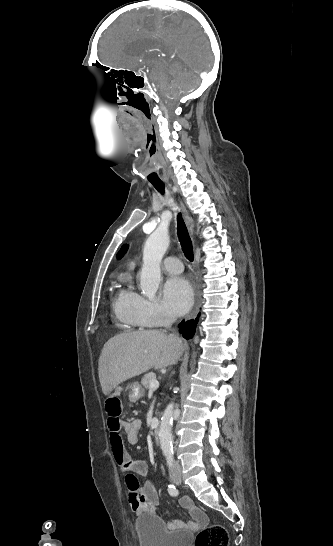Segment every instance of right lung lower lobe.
Returning a JSON list of instances; mask_svg holds the SVG:
<instances>
[{"label": "right lung lower lobe", "mask_w": 333, "mask_h": 546, "mask_svg": "<svg viewBox=\"0 0 333 546\" xmlns=\"http://www.w3.org/2000/svg\"><path fill=\"white\" fill-rule=\"evenodd\" d=\"M199 315L200 314H198V317ZM198 317L196 319H191L188 321L182 320V322L179 323L178 327L180 329V332L183 334L184 338L191 339L194 336L197 322H198Z\"/></svg>", "instance_id": "1"}]
</instances>
